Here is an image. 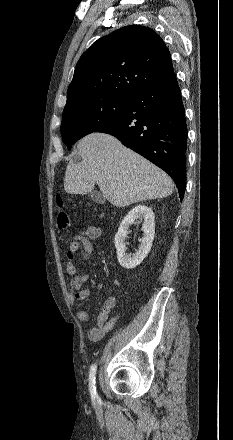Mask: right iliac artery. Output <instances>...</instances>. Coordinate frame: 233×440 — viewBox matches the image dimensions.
Returning a JSON list of instances; mask_svg holds the SVG:
<instances>
[{
  "label": "right iliac artery",
  "instance_id": "obj_1",
  "mask_svg": "<svg viewBox=\"0 0 233 440\" xmlns=\"http://www.w3.org/2000/svg\"><path fill=\"white\" fill-rule=\"evenodd\" d=\"M97 365L93 364L90 368L89 374V390L92 399L97 398L96 386H95V375H96Z\"/></svg>",
  "mask_w": 233,
  "mask_h": 440
}]
</instances>
